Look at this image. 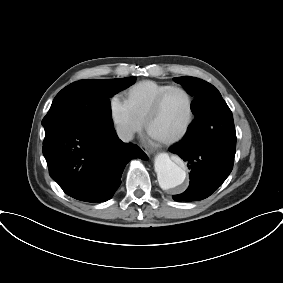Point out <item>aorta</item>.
Listing matches in <instances>:
<instances>
[{"label": "aorta", "instance_id": "1", "mask_svg": "<svg viewBox=\"0 0 283 283\" xmlns=\"http://www.w3.org/2000/svg\"><path fill=\"white\" fill-rule=\"evenodd\" d=\"M154 169L158 183L163 190L174 189L185 181V170L172 161L166 153H160L155 157Z\"/></svg>", "mask_w": 283, "mask_h": 283}]
</instances>
